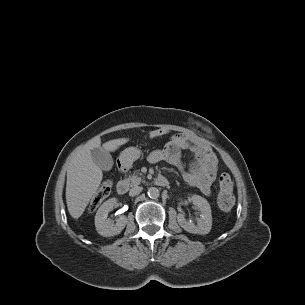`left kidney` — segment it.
I'll return each mask as SVG.
<instances>
[{
  "label": "left kidney",
  "instance_id": "5707ae66",
  "mask_svg": "<svg viewBox=\"0 0 305 305\" xmlns=\"http://www.w3.org/2000/svg\"><path fill=\"white\" fill-rule=\"evenodd\" d=\"M191 200L196 209L200 211V217L197 218V224L187 221L185 215L179 213L177 221L179 225L187 232L205 235L208 234L212 228L211 208L207 200L199 195L191 196Z\"/></svg>",
  "mask_w": 305,
  "mask_h": 305
}]
</instances>
